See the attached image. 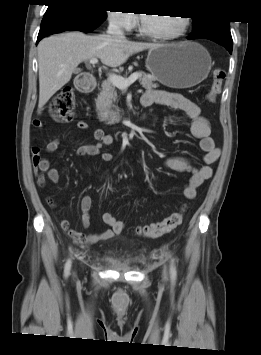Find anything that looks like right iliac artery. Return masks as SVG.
<instances>
[{"mask_svg":"<svg viewBox=\"0 0 261 355\" xmlns=\"http://www.w3.org/2000/svg\"><path fill=\"white\" fill-rule=\"evenodd\" d=\"M70 268H71V260L68 259L66 264H65V269H64V276L68 277L69 272H70Z\"/></svg>","mask_w":261,"mask_h":355,"instance_id":"1","label":"right iliac artery"}]
</instances>
